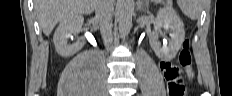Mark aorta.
<instances>
[{
  "mask_svg": "<svg viewBox=\"0 0 232 96\" xmlns=\"http://www.w3.org/2000/svg\"><path fill=\"white\" fill-rule=\"evenodd\" d=\"M134 5L132 0H120L118 9L119 32L125 36L132 26Z\"/></svg>",
  "mask_w": 232,
  "mask_h": 96,
  "instance_id": "762f6f07",
  "label": "aorta"
}]
</instances>
